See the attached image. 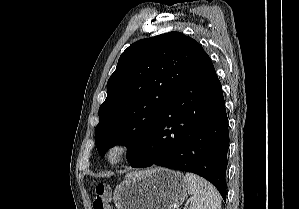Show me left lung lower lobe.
I'll list each match as a JSON object with an SVG mask.
<instances>
[{"mask_svg": "<svg viewBox=\"0 0 299 209\" xmlns=\"http://www.w3.org/2000/svg\"><path fill=\"white\" fill-rule=\"evenodd\" d=\"M228 118L212 62L165 104L131 167L153 164L198 174L226 200Z\"/></svg>", "mask_w": 299, "mask_h": 209, "instance_id": "obj_1", "label": "left lung lower lobe"}]
</instances>
